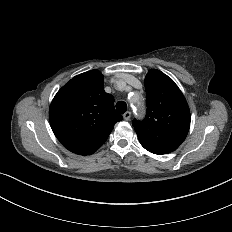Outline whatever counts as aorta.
<instances>
[{
    "label": "aorta",
    "instance_id": "1",
    "mask_svg": "<svg viewBox=\"0 0 232 232\" xmlns=\"http://www.w3.org/2000/svg\"><path fill=\"white\" fill-rule=\"evenodd\" d=\"M137 98H139V96L134 97V100H136V101H135V102H136V107H141V106H142V103H141V101H140L139 99H137Z\"/></svg>",
    "mask_w": 232,
    "mask_h": 232
}]
</instances>
